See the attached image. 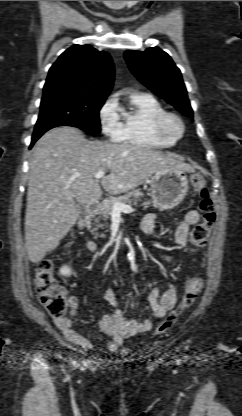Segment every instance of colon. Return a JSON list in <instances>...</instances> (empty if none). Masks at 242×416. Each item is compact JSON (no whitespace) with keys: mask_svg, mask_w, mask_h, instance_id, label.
Listing matches in <instances>:
<instances>
[{"mask_svg":"<svg viewBox=\"0 0 242 416\" xmlns=\"http://www.w3.org/2000/svg\"><path fill=\"white\" fill-rule=\"evenodd\" d=\"M193 187L199 192L201 220L192 228L190 239L194 251L205 246L213 225L216 213L213 202L205 187V179L201 175L191 177ZM202 288V281L198 276L192 277L185 288L179 306L169 313L157 326L156 333H162L175 326L179 318L195 302ZM36 291L40 303L48 314L54 318H62L66 312L68 301L64 290L57 284L54 277V262L50 258L42 259L36 272Z\"/></svg>","mask_w":242,"mask_h":416,"instance_id":"1","label":"colon"}]
</instances>
